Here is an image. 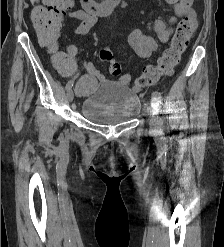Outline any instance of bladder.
Masks as SVG:
<instances>
[{
    "mask_svg": "<svg viewBox=\"0 0 224 247\" xmlns=\"http://www.w3.org/2000/svg\"><path fill=\"white\" fill-rule=\"evenodd\" d=\"M139 98L128 86L104 83L82 101L80 112L89 122L112 126L130 121L138 111Z\"/></svg>",
    "mask_w": 224,
    "mask_h": 247,
    "instance_id": "31cf9c89",
    "label": "bladder"
}]
</instances>
